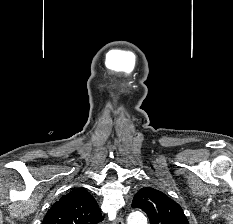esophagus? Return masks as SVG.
Masks as SVG:
<instances>
[{
	"mask_svg": "<svg viewBox=\"0 0 233 224\" xmlns=\"http://www.w3.org/2000/svg\"><path fill=\"white\" fill-rule=\"evenodd\" d=\"M113 224H124V223H123L122 216L119 215V216L117 217V219L113 222Z\"/></svg>",
	"mask_w": 233,
	"mask_h": 224,
	"instance_id": "esophagus-1",
	"label": "esophagus"
}]
</instances>
